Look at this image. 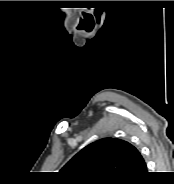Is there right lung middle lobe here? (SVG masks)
Segmentation results:
<instances>
[{
  "label": "right lung middle lobe",
  "mask_w": 174,
  "mask_h": 184,
  "mask_svg": "<svg viewBox=\"0 0 174 184\" xmlns=\"http://www.w3.org/2000/svg\"><path fill=\"white\" fill-rule=\"evenodd\" d=\"M121 183H122V182H121ZM121 183H116V184H121ZM84 184H108V183L90 182V183H84Z\"/></svg>",
  "instance_id": "right-lung-middle-lobe-1"
}]
</instances>
